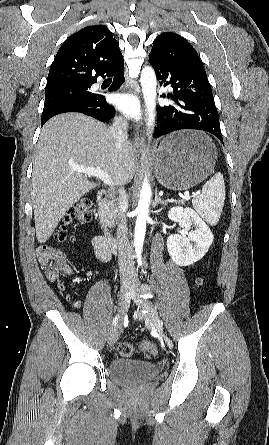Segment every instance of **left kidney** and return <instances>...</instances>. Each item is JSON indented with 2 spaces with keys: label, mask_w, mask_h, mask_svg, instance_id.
<instances>
[{
  "label": "left kidney",
  "mask_w": 269,
  "mask_h": 445,
  "mask_svg": "<svg viewBox=\"0 0 269 445\" xmlns=\"http://www.w3.org/2000/svg\"><path fill=\"white\" fill-rule=\"evenodd\" d=\"M168 218L184 227V233L171 235L167 239L168 253L173 262L179 266H189L199 261L213 242V234L207 224L191 208L173 207L168 212ZM192 225L195 230L189 232Z\"/></svg>",
  "instance_id": "1"
}]
</instances>
